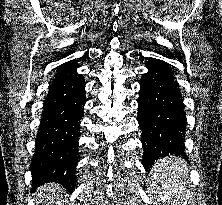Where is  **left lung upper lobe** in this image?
I'll return each mask as SVG.
<instances>
[{"instance_id":"left-lung-upper-lobe-1","label":"left lung upper lobe","mask_w":222,"mask_h":205,"mask_svg":"<svg viewBox=\"0 0 222 205\" xmlns=\"http://www.w3.org/2000/svg\"><path fill=\"white\" fill-rule=\"evenodd\" d=\"M163 154H164V153L160 151V152H158L157 156L160 158V157L163 156Z\"/></svg>"}]
</instances>
